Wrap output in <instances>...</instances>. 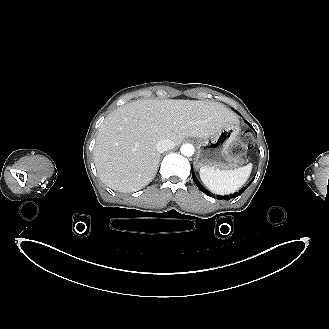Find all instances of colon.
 Masks as SVG:
<instances>
[{"mask_svg":"<svg viewBox=\"0 0 329 329\" xmlns=\"http://www.w3.org/2000/svg\"><path fill=\"white\" fill-rule=\"evenodd\" d=\"M240 144L246 148L252 147L253 145L252 135L248 132L244 133L240 139Z\"/></svg>","mask_w":329,"mask_h":329,"instance_id":"1","label":"colon"}]
</instances>
